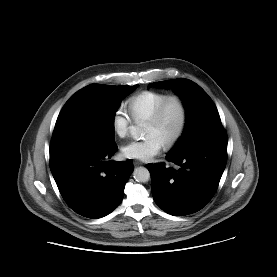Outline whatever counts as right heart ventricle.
<instances>
[{
	"instance_id": "1",
	"label": "right heart ventricle",
	"mask_w": 277,
	"mask_h": 277,
	"mask_svg": "<svg viewBox=\"0 0 277 277\" xmlns=\"http://www.w3.org/2000/svg\"><path fill=\"white\" fill-rule=\"evenodd\" d=\"M167 96L164 92L142 91L129 98V113L135 121H146Z\"/></svg>"
}]
</instances>
